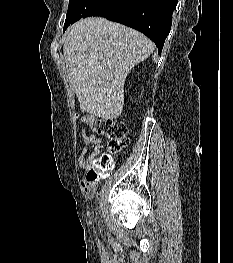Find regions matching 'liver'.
Segmentation results:
<instances>
[{"label": "liver", "instance_id": "obj_1", "mask_svg": "<svg viewBox=\"0 0 233 263\" xmlns=\"http://www.w3.org/2000/svg\"><path fill=\"white\" fill-rule=\"evenodd\" d=\"M154 48L142 33L105 18L90 17L73 24L63 52L81 111L104 120L119 117L126 77Z\"/></svg>", "mask_w": 233, "mask_h": 263}]
</instances>
